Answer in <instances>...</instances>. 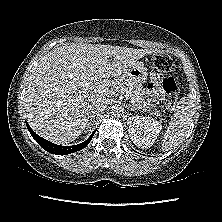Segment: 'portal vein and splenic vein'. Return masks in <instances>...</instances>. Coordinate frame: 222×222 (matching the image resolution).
I'll return each mask as SVG.
<instances>
[{
  "label": "portal vein and splenic vein",
  "instance_id": "portal-vein-and-splenic-vein-1",
  "mask_svg": "<svg viewBox=\"0 0 222 222\" xmlns=\"http://www.w3.org/2000/svg\"><path fill=\"white\" fill-rule=\"evenodd\" d=\"M88 85H89V83H84L82 86H88ZM123 91L125 92V96H126V97H129V92L126 91V90H124V89H123ZM124 92H123V93H124Z\"/></svg>",
  "mask_w": 222,
  "mask_h": 222
}]
</instances>
